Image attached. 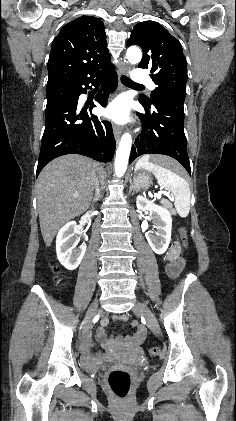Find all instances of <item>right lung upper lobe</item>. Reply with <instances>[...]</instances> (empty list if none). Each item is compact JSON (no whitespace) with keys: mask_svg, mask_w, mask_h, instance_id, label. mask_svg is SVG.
Returning <instances> with one entry per match:
<instances>
[{"mask_svg":"<svg viewBox=\"0 0 236 421\" xmlns=\"http://www.w3.org/2000/svg\"><path fill=\"white\" fill-rule=\"evenodd\" d=\"M110 59L103 22L93 16H81L66 24L53 41L47 86H63L114 68Z\"/></svg>","mask_w":236,"mask_h":421,"instance_id":"obj_1","label":"right lung upper lobe"}]
</instances>
